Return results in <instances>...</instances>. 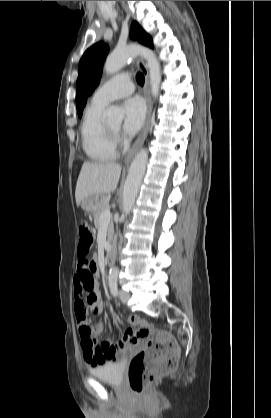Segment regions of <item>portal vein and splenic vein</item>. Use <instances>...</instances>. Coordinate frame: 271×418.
Wrapping results in <instances>:
<instances>
[{"label": "portal vein and splenic vein", "mask_w": 271, "mask_h": 418, "mask_svg": "<svg viewBox=\"0 0 271 418\" xmlns=\"http://www.w3.org/2000/svg\"><path fill=\"white\" fill-rule=\"evenodd\" d=\"M111 218V212L110 208L108 207L106 210H104L100 216V222L101 223H109Z\"/></svg>", "instance_id": "obj_1"}]
</instances>
